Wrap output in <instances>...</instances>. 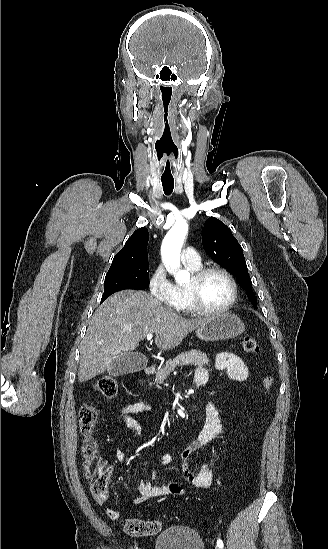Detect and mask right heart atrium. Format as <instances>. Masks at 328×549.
<instances>
[{
  "instance_id": "obj_1",
  "label": "right heart atrium",
  "mask_w": 328,
  "mask_h": 549,
  "mask_svg": "<svg viewBox=\"0 0 328 549\" xmlns=\"http://www.w3.org/2000/svg\"><path fill=\"white\" fill-rule=\"evenodd\" d=\"M173 284L167 275L163 263L159 262L151 269L148 278V296L150 303H165L171 294Z\"/></svg>"
}]
</instances>
